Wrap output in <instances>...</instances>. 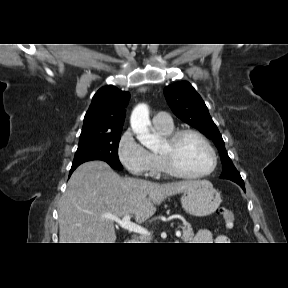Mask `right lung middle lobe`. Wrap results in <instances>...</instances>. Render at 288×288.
I'll list each match as a JSON object with an SVG mask.
<instances>
[{"instance_id": "dd1d6c3e", "label": "right lung middle lobe", "mask_w": 288, "mask_h": 288, "mask_svg": "<svg viewBox=\"0 0 288 288\" xmlns=\"http://www.w3.org/2000/svg\"><path fill=\"white\" fill-rule=\"evenodd\" d=\"M121 132L101 137L80 140L72 167L91 160H102L115 169H122L118 158V145Z\"/></svg>"}]
</instances>
